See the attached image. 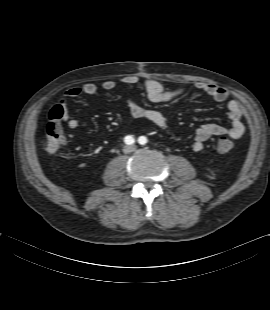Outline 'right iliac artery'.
Here are the masks:
<instances>
[{"label": "right iliac artery", "mask_w": 270, "mask_h": 310, "mask_svg": "<svg viewBox=\"0 0 270 310\" xmlns=\"http://www.w3.org/2000/svg\"><path fill=\"white\" fill-rule=\"evenodd\" d=\"M124 141L128 145H131V144H133L135 142L134 138L132 136H130V135L126 136Z\"/></svg>", "instance_id": "1"}]
</instances>
